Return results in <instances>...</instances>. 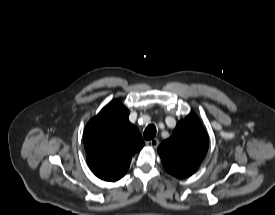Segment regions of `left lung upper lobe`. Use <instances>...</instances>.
Returning a JSON list of instances; mask_svg holds the SVG:
<instances>
[{"label": "left lung upper lobe", "instance_id": "left-lung-upper-lobe-1", "mask_svg": "<svg viewBox=\"0 0 275 215\" xmlns=\"http://www.w3.org/2000/svg\"><path fill=\"white\" fill-rule=\"evenodd\" d=\"M209 146V139L197 115L191 113L181 120L172 136L158 148L167 173L184 178L200 166Z\"/></svg>", "mask_w": 275, "mask_h": 215}]
</instances>
